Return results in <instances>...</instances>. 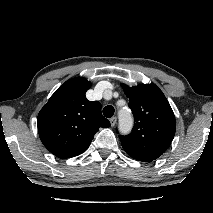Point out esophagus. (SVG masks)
<instances>
[{
    "mask_svg": "<svg viewBox=\"0 0 213 213\" xmlns=\"http://www.w3.org/2000/svg\"><path fill=\"white\" fill-rule=\"evenodd\" d=\"M116 122H117V118L116 117H112L110 119V124H111L112 127L115 126Z\"/></svg>",
    "mask_w": 213,
    "mask_h": 213,
    "instance_id": "34e87169",
    "label": "esophagus"
}]
</instances>
